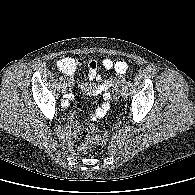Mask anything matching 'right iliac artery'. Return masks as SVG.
I'll return each instance as SVG.
<instances>
[{"mask_svg": "<svg viewBox=\"0 0 195 195\" xmlns=\"http://www.w3.org/2000/svg\"><path fill=\"white\" fill-rule=\"evenodd\" d=\"M59 79H60V82H61V83H65L64 78H63V77H60Z\"/></svg>", "mask_w": 195, "mask_h": 195, "instance_id": "obj_1", "label": "right iliac artery"}]
</instances>
